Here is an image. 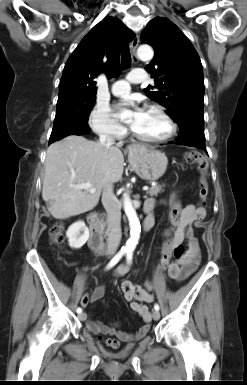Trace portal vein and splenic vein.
Segmentation results:
<instances>
[{
  "mask_svg": "<svg viewBox=\"0 0 247 385\" xmlns=\"http://www.w3.org/2000/svg\"><path fill=\"white\" fill-rule=\"evenodd\" d=\"M73 187H75L77 189L87 190L90 193H94L95 192V189L92 187V185L89 182L83 183V184H79V185H73ZM147 190H148V187L144 186L143 187V191H147Z\"/></svg>",
  "mask_w": 247,
  "mask_h": 385,
  "instance_id": "obj_1",
  "label": "portal vein and splenic vein"
}]
</instances>
